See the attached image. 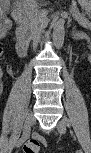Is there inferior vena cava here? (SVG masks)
<instances>
[{"mask_svg": "<svg viewBox=\"0 0 91 153\" xmlns=\"http://www.w3.org/2000/svg\"><path fill=\"white\" fill-rule=\"evenodd\" d=\"M35 16L36 17V21L37 24L32 32V39H33V47H39V40H40V36H41V32L43 29V23H44V13H33L32 17Z\"/></svg>", "mask_w": 91, "mask_h": 153, "instance_id": "obj_1", "label": "inferior vena cava"}]
</instances>
